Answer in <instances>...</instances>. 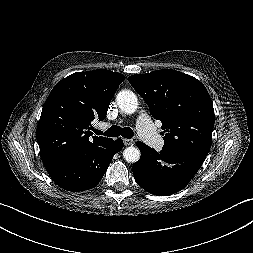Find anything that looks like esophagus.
I'll list each match as a JSON object with an SVG mask.
<instances>
[{
  "instance_id": "obj_1",
  "label": "esophagus",
  "mask_w": 253,
  "mask_h": 253,
  "mask_svg": "<svg viewBox=\"0 0 253 253\" xmlns=\"http://www.w3.org/2000/svg\"><path fill=\"white\" fill-rule=\"evenodd\" d=\"M134 141L132 139H124L125 146L133 145Z\"/></svg>"
}]
</instances>
